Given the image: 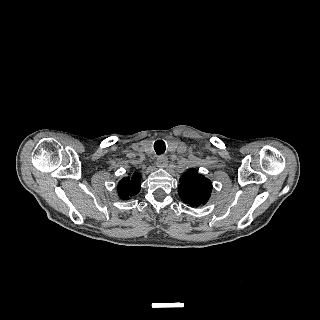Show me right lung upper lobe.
<instances>
[{
	"label": "right lung upper lobe",
	"instance_id": "right-lung-upper-lobe-1",
	"mask_svg": "<svg viewBox=\"0 0 320 320\" xmlns=\"http://www.w3.org/2000/svg\"><path fill=\"white\" fill-rule=\"evenodd\" d=\"M141 175L134 173L131 177H125L119 181L117 192L121 199L128 200L140 191Z\"/></svg>",
	"mask_w": 320,
	"mask_h": 320
}]
</instances>
